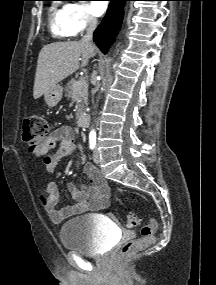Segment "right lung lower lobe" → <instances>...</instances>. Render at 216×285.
Instances as JSON below:
<instances>
[{"mask_svg": "<svg viewBox=\"0 0 216 285\" xmlns=\"http://www.w3.org/2000/svg\"><path fill=\"white\" fill-rule=\"evenodd\" d=\"M109 1L110 5L107 14L93 35L94 42L104 54L107 53L109 47L113 44L114 36L118 33L122 23L125 2L130 0Z\"/></svg>", "mask_w": 216, "mask_h": 285, "instance_id": "right-lung-lower-lobe-1", "label": "right lung lower lobe"}]
</instances>
